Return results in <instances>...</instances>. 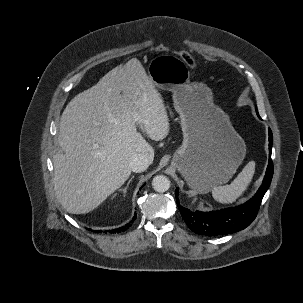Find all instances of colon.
Returning a JSON list of instances; mask_svg holds the SVG:
<instances>
[{
    "label": "colon",
    "mask_w": 303,
    "mask_h": 303,
    "mask_svg": "<svg viewBox=\"0 0 303 303\" xmlns=\"http://www.w3.org/2000/svg\"><path fill=\"white\" fill-rule=\"evenodd\" d=\"M156 51L160 52V53H164V52L169 51V48L165 44H159L156 47ZM178 55L188 67H190V68H195L196 67L195 59L188 52L179 51Z\"/></svg>",
    "instance_id": "colon-1"
}]
</instances>
